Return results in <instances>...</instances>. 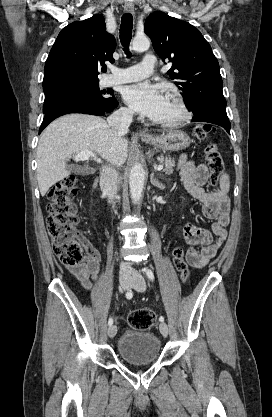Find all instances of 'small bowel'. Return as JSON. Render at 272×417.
Wrapping results in <instances>:
<instances>
[{"label":"small bowel","mask_w":272,"mask_h":417,"mask_svg":"<svg viewBox=\"0 0 272 417\" xmlns=\"http://www.w3.org/2000/svg\"><path fill=\"white\" fill-rule=\"evenodd\" d=\"M179 173L187 192L202 204V215L214 220L210 230L203 229L195 223H188L183 230L184 239L190 248L186 253V262L195 269L205 267L224 244L230 223L229 189L230 181L224 174L216 189L207 191L209 171L205 164H196L186 156L179 159ZM86 261L80 265H67L68 270L76 277L84 289L93 290L100 270V254L89 242L85 241ZM195 246H200L196 249Z\"/></svg>","instance_id":"small-bowel-1"}]
</instances>
